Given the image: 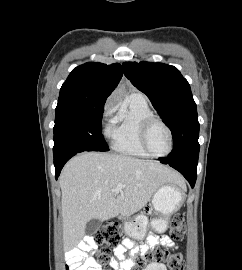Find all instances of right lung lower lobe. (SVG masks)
Segmentation results:
<instances>
[{"label":"right lung lower lobe","mask_w":242,"mask_h":270,"mask_svg":"<svg viewBox=\"0 0 242 270\" xmlns=\"http://www.w3.org/2000/svg\"><path fill=\"white\" fill-rule=\"evenodd\" d=\"M77 153H73V154H69L66 155L58 160H54V164H55V170H56V179L58 178L61 169L63 168L64 164L74 155H76Z\"/></svg>","instance_id":"right-lung-lower-lobe-1"}]
</instances>
